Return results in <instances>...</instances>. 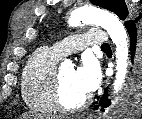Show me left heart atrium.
<instances>
[{"instance_id": "left-heart-atrium-1", "label": "left heart atrium", "mask_w": 142, "mask_h": 119, "mask_svg": "<svg viewBox=\"0 0 142 119\" xmlns=\"http://www.w3.org/2000/svg\"><path fill=\"white\" fill-rule=\"evenodd\" d=\"M76 87L85 95H90L98 86L99 71L91 62H84L74 71Z\"/></svg>"}]
</instances>
